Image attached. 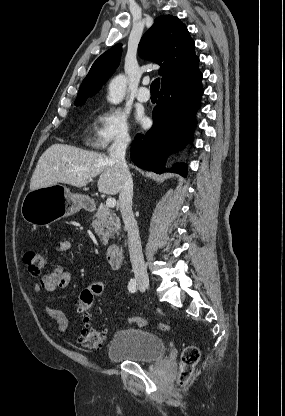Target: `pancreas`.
<instances>
[{"label":"pancreas","mask_w":285,"mask_h":416,"mask_svg":"<svg viewBox=\"0 0 285 416\" xmlns=\"http://www.w3.org/2000/svg\"><path fill=\"white\" fill-rule=\"evenodd\" d=\"M96 220H92V226L95 230V234L99 236L102 244H108L109 238H113L116 232L120 230V220L116 214H113V210H110L108 206H100L98 212H96ZM93 216V218H95Z\"/></svg>","instance_id":"pancreas-1"}]
</instances>
